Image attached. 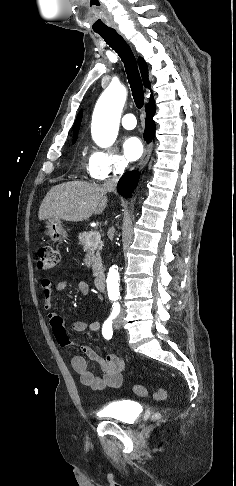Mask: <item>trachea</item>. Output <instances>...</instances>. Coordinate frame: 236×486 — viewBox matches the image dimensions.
Returning a JSON list of instances; mask_svg holds the SVG:
<instances>
[{
	"mask_svg": "<svg viewBox=\"0 0 236 486\" xmlns=\"http://www.w3.org/2000/svg\"><path fill=\"white\" fill-rule=\"evenodd\" d=\"M106 43L118 53L124 63L134 102L138 109L144 103V91L135 56L126 41L114 30L108 28L97 32Z\"/></svg>",
	"mask_w": 236,
	"mask_h": 486,
	"instance_id": "3493384b",
	"label": "trachea"
}]
</instances>
